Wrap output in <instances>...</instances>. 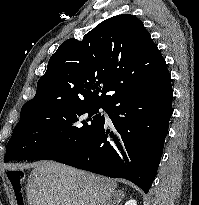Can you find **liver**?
<instances>
[{
  "mask_svg": "<svg viewBox=\"0 0 199 205\" xmlns=\"http://www.w3.org/2000/svg\"><path fill=\"white\" fill-rule=\"evenodd\" d=\"M117 183L54 161L35 164L27 183L29 205H118Z\"/></svg>",
  "mask_w": 199,
  "mask_h": 205,
  "instance_id": "obj_1",
  "label": "liver"
}]
</instances>
